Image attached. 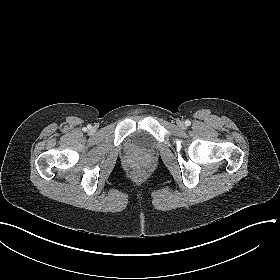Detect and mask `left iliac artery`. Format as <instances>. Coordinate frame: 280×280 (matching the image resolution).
I'll return each mask as SVG.
<instances>
[{
    "label": "left iliac artery",
    "mask_w": 280,
    "mask_h": 280,
    "mask_svg": "<svg viewBox=\"0 0 280 280\" xmlns=\"http://www.w3.org/2000/svg\"><path fill=\"white\" fill-rule=\"evenodd\" d=\"M190 124H191V122H190L189 120H186V121H185V125H186V126H190Z\"/></svg>",
    "instance_id": "44dca946"
}]
</instances>
